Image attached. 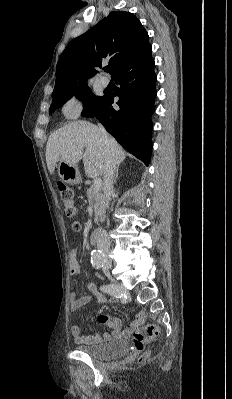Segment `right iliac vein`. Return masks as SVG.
<instances>
[{
    "mask_svg": "<svg viewBox=\"0 0 232 399\" xmlns=\"http://www.w3.org/2000/svg\"><path fill=\"white\" fill-rule=\"evenodd\" d=\"M105 270H112V262L111 261H106L105 262Z\"/></svg>",
    "mask_w": 232,
    "mask_h": 399,
    "instance_id": "right-iliac-vein-1",
    "label": "right iliac vein"
}]
</instances>
